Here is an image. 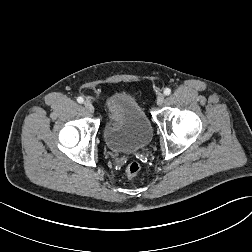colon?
Wrapping results in <instances>:
<instances>
[{"label": "colon", "mask_w": 252, "mask_h": 252, "mask_svg": "<svg viewBox=\"0 0 252 252\" xmlns=\"http://www.w3.org/2000/svg\"><path fill=\"white\" fill-rule=\"evenodd\" d=\"M140 164L137 162V161H132L130 162L127 167H126V170H125V173H126V176L128 178H133L135 177L139 171H140Z\"/></svg>", "instance_id": "1"}]
</instances>
